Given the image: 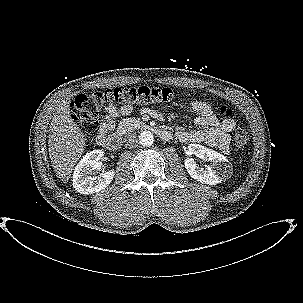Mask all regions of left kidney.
Segmentation results:
<instances>
[{"label":"left kidney","instance_id":"left-kidney-1","mask_svg":"<svg viewBox=\"0 0 303 303\" xmlns=\"http://www.w3.org/2000/svg\"><path fill=\"white\" fill-rule=\"evenodd\" d=\"M188 149L202 160L211 162V165H205L204 168H201L192 158H187L185 168L193 179L201 183L215 185L231 174V166L224 155L199 144H189Z\"/></svg>","mask_w":303,"mask_h":303}]
</instances>
